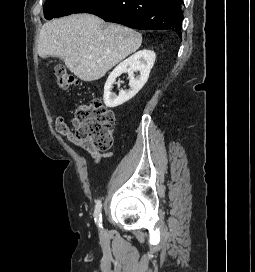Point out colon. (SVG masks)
Instances as JSON below:
<instances>
[{
  "label": "colon",
  "mask_w": 255,
  "mask_h": 272,
  "mask_svg": "<svg viewBox=\"0 0 255 272\" xmlns=\"http://www.w3.org/2000/svg\"><path fill=\"white\" fill-rule=\"evenodd\" d=\"M55 74L61 89L70 90L77 85L76 77L65 68H57ZM114 124V112L99 100L80 106L74 112L76 138L98 151L112 147Z\"/></svg>",
  "instance_id": "5ec220e1"
}]
</instances>
